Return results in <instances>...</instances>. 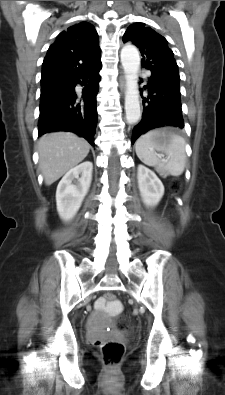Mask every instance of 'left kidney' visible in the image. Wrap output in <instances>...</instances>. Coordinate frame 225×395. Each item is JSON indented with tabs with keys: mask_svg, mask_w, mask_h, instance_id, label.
Segmentation results:
<instances>
[{
	"mask_svg": "<svg viewBox=\"0 0 225 395\" xmlns=\"http://www.w3.org/2000/svg\"><path fill=\"white\" fill-rule=\"evenodd\" d=\"M138 186L146 205L156 206L163 197L164 186L161 180L143 165L138 166Z\"/></svg>",
	"mask_w": 225,
	"mask_h": 395,
	"instance_id": "1",
	"label": "left kidney"
}]
</instances>
